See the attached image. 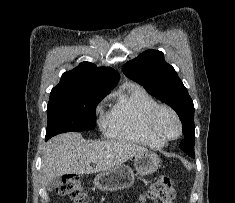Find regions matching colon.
Instances as JSON below:
<instances>
[{
    "label": "colon",
    "instance_id": "obj_1",
    "mask_svg": "<svg viewBox=\"0 0 235 203\" xmlns=\"http://www.w3.org/2000/svg\"><path fill=\"white\" fill-rule=\"evenodd\" d=\"M56 192L60 196H67L75 203H84L85 192L76 175L63 176L62 183ZM175 196V184L172 178L160 176L140 198L138 203L153 201L156 203H170Z\"/></svg>",
    "mask_w": 235,
    "mask_h": 203
}]
</instances>
